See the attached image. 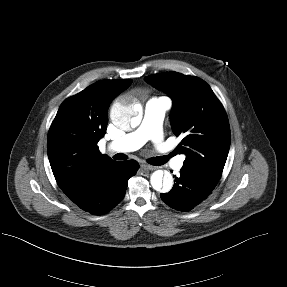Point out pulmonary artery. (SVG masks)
Returning <instances> with one entry per match:
<instances>
[{
	"label": "pulmonary artery",
	"mask_w": 287,
	"mask_h": 287,
	"mask_svg": "<svg viewBox=\"0 0 287 287\" xmlns=\"http://www.w3.org/2000/svg\"><path fill=\"white\" fill-rule=\"evenodd\" d=\"M171 102L166 97H152L145 105L141 124L135 130L113 140L108 149L128 152L142 147L147 141L160 144L163 139L162 122ZM185 157L180 156L173 161V167L180 169Z\"/></svg>",
	"instance_id": "1"
}]
</instances>
